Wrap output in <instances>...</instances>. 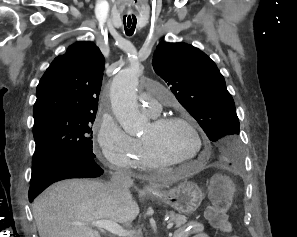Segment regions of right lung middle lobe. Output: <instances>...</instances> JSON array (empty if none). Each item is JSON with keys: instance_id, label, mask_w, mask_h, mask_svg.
Wrapping results in <instances>:
<instances>
[{"instance_id": "1", "label": "right lung middle lobe", "mask_w": 297, "mask_h": 237, "mask_svg": "<svg viewBox=\"0 0 297 237\" xmlns=\"http://www.w3.org/2000/svg\"><path fill=\"white\" fill-rule=\"evenodd\" d=\"M96 113L85 115H50L34 123L36 143L32 166L57 152H77L92 158V129Z\"/></svg>"}]
</instances>
